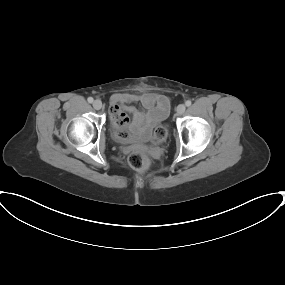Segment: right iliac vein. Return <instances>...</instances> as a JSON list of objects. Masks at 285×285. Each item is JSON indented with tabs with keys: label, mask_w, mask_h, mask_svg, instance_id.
I'll use <instances>...</instances> for the list:
<instances>
[{
	"label": "right iliac vein",
	"mask_w": 285,
	"mask_h": 285,
	"mask_svg": "<svg viewBox=\"0 0 285 285\" xmlns=\"http://www.w3.org/2000/svg\"><path fill=\"white\" fill-rule=\"evenodd\" d=\"M93 107L96 110H100L102 108V102L100 100H95L93 102Z\"/></svg>",
	"instance_id": "63e3f726"
}]
</instances>
